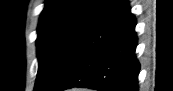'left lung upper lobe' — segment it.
Instances as JSON below:
<instances>
[{
    "instance_id": "1",
    "label": "left lung upper lobe",
    "mask_w": 173,
    "mask_h": 91,
    "mask_svg": "<svg viewBox=\"0 0 173 91\" xmlns=\"http://www.w3.org/2000/svg\"><path fill=\"white\" fill-rule=\"evenodd\" d=\"M115 0H46L38 25L34 91H51L74 52Z\"/></svg>"
}]
</instances>
